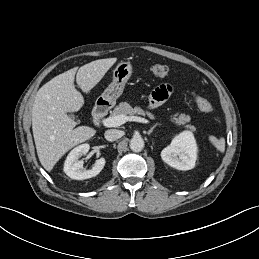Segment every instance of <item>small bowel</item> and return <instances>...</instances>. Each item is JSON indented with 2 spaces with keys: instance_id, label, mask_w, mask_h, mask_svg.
<instances>
[{
  "instance_id": "obj_1",
  "label": "small bowel",
  "mask_w": 259,
  "mask_h": 259,
  "mask_svg": "<svg viewBox=\"0 0 259 259\" xmlns=\"http://www.w3.org/2000/svg\"><path fill=\"white\" fill-rule=\"evenodd\" d=\"M172 92V87L169 84L160 85L149 96V103L151 106H158L162 104Z\"/></svg>"
}]
</instances>
